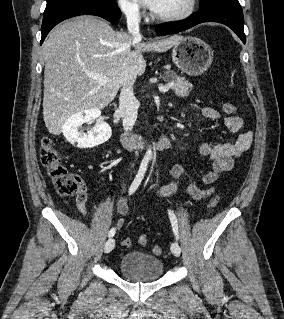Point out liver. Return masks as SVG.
Masks as SVG:
<instances>
[{
	"label": "liver",
	"instance_id": "liver-1",
	"mask_svg": "<svg viewBox=\"0 0 284 319\" xmlns=\"http://www.w3.org/2000/svg\"><path fill=\"white\" fill-rule=\"evenodd\" d=\"M181 39L172 35L141 42V37L114 31L94 16L74 18L55 27L42 47L43 117L48 131L59 135L73 114L106 107L119 89L134 84L136 76L145 72L142 52H165ZM93 74L106 76L110 82L101 85L90 77Z\"/></svg>",
	"mask_w": 284,
	"mask_h": 319
}]
</instances>
